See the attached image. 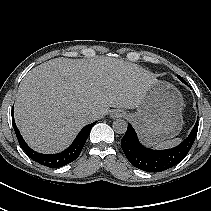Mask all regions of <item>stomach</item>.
<instances>
[{
    "instance_id": "stomach-1",
    "label": "stomach",
    "mask_w": 211,
    "mask_h": 211,
    "mask_svg": "<svg viewBox=\"0 0 211 211\" xmlns=\"http://www.w3.org/2000/svg\"><path fill=\"white\" fill-rule=\"evenodd\" d=\"M183 97L172 84L156 80L136 112L129 114L142 141L155 145L179 134L183 126Z\"/></svg>"
}]
</instances>
